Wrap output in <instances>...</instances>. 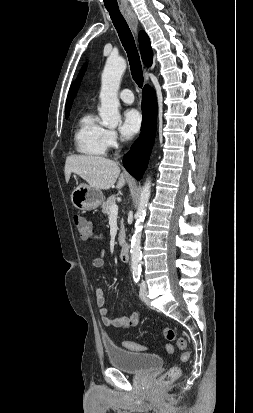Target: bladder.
Segmentation results:
<instances>
[{
  "mask_svg": "<svg viewBox=\"0 0 253 413\" xmlns=\"http://www.w3.org/2000/svg\"><path fill=\"white\" fill-rule=\"evenodd\" d=\"M103 349L109 363L127 373L140 374L163 365L162 357L157 354L127 350L108 340L103 341Z\"/></svg>",
  "mask_w": 253,
  "mask_h": 413,
  "instance_id": "31cf9c89",
  "label": "bladder"
}]
</instances>
